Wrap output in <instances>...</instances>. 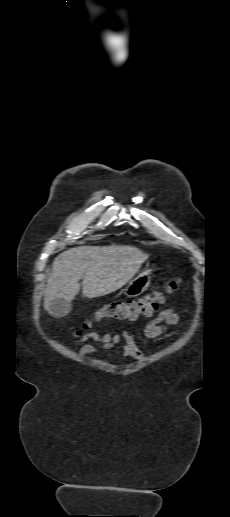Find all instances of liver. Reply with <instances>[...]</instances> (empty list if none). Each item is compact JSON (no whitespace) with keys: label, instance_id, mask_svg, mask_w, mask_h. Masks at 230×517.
Here are the masks:
<instances>
[{"label":"liver","instance_id":"liver-1","mask_svg":"<svg viewBox=\"0 0 230 517\" xmlns=\"http://www.w3.org/2000/svg\"><path fill=\"white\" fill-rule=\"evenodd\" d=\"M148 258L136 247L126 245L79 246L59 254L53 262L44 296V308L61 298L72 301L79 293L95 298L115 292L128 283Z\"/></svg>","mask_w":230,"mask_h":517}]
</instances>
